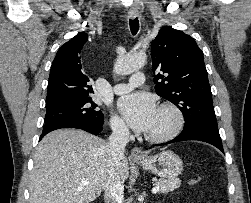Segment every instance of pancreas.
<instances>
[{
	"instance_id": "cf45deb5",
	"label": "pancreas",
	"mask_w": 251,
	"mask_h": 203,
	"mask_svg": "<svg viewBox=\"0 0 251 203\" xmlns=\"http://www.w3.org/2000/svg\"><path fill=\"white\" fill-rule=\"evenodd\" d=\"M157 184L160 186L162 193H168L179 188L181 181L178 178L160 179Z\"/></svg>"
}]
</instances>
